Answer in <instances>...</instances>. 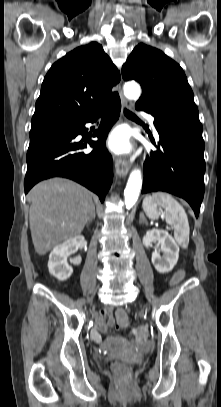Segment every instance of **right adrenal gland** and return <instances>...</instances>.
Segmentation results:
<instances>
[{"label": "right adrenal gland", "instance_id": "right-adrenal-gland-1", "mask_svg": "<svg viewBox=\"0 0 221 407\" xmlns=\"http://www.w3.org/2000/svg\"><path fill=\"white\" fill-rule=\"evenodd\" d=\"M95 217H96V213H95V206H94L92 217L88 220L87 225L90 224L92 222V220L95 219Z\"/></svg>", "mask_w": 221, "mask_h": 407}]
</instances>
